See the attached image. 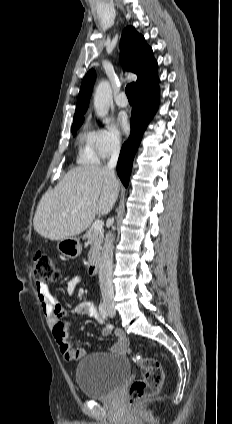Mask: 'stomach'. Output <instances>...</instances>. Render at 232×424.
<instances>
[{
	"label": "stomach",
	"instance_id": "0dacf381",
	"mask_svg": "<svg viewBox=\"0 0 232 424\" xmlns=\"http://www.w3.org/2000/svg\"><path fill=\"white\" fill-rule=\"evenodd\" d=\"M58 251L69 259H74L81 254L82 245L78 237L62 239L57 244Z\"/></svg>",
	"mask_w": 232,
	"mask_h": 424
}]
</instances>
